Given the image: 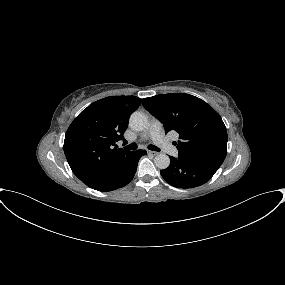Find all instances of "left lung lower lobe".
Masks as SVG:
<instances>
[{"instance_id": "left-lung-lower-lobe-1", "label": "left lung lower lobe", "mask_w": 285, "mask_h": 285, "mask_svg": "<svg viewBox=\"0 0 285 285\" xmlns=\"http://www.w3.org/2000/svg\"><path fill=\"white\" fill-rule=\"evenodd\" d=\"M168 168L160 173L164 180L177 188H194L209 181L220 165L184 157H170Z\"/></svg>"}]
</instances>
